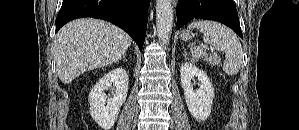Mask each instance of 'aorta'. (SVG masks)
Segmentation results:
<instances>
[{"mask_svg":"<svg viewBox=\"0 0 299 130\" xmlns=\"http://www.w3.org/2000/svg\"><path fill=\"white\" fill-rule=\"evenodd\" d=\"M171 0L156 1V27L160 43L167 45L173 27V7Z\"/></svg>","mask_w":299,"mask_h":130,"instance_id":"aorta-1","label":"aorta"}]
</instances>
